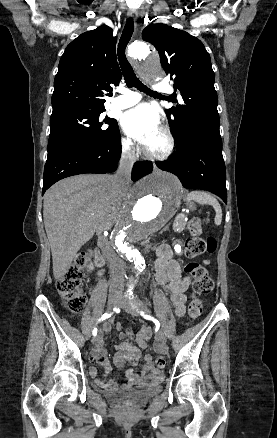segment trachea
I'll return each instance as SVG.
<instances>
[{
  "mask_svg": "<svg viewBox=\"0 0 277 438\" xmlns=\"http://www.w3.org/2000/svg\"><path fill=\"white\" fill-rule=\"evenodd\" d=\"M134 31V22L132 18H129L125 24V27L123 29L121 38L118 43V49H117V55L119 64L123 73L124 80L126 82L127 87L132 88L135 87L141 92H144L146 94L150 95H160L157 94V92H153V90H150V88L146 87L142 82H140L139 78L136 77V74L134 73L133 68L131 67L130 63L128 62L125 50L126 47L132 37Z\"/></svg>",
  "mask_w": 277,
  "mask_h": 438,
  "instance_id": "1",
  "label": "trachea"
}]
</instances>
